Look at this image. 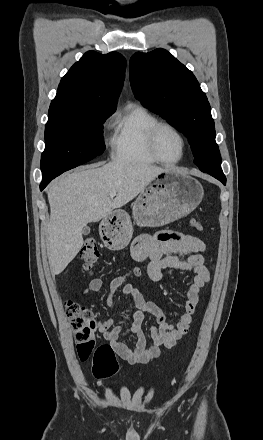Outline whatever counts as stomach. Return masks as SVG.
<instances>
[{
	"mask_svg": "<svg viewBox=\"0 0 263 440\" xmlns=\"http://www.w3.org/2000/svg\"><path fill=\"white\" fill-rule=\"evenodd\" d=\"M204 190L195 178L174 170L159 174L132 204L134 223L159 227L192 212L202 201ZM99 232L110 250L124 249L133 235L128 213L113 211L100 224Z\"/></svg>",
	"mask_w": 263,
	"mask_h": 440,
	"instance_id": "1",
	"label": "stomach"
}]
</instances>
